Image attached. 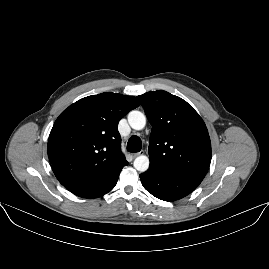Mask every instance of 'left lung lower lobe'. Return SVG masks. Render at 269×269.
<instances>
[{
	"mask_svg": "<svg viewBox=\"0 0 269 269\" xmlns=\"http://www.w3.org/2000/svg\"><path fill=\"white\" fill-rule=\"evenodd\" d=\"M140 179L144 188L153 196L169 202L187 196L201 183L194 178L152 169L140 174Z\"/></svg>",
	"mask_w": 269,
	"mask_h": 269,
	"instance_id": "1",
	"label": "left lung lower lobe"
}]
</instances>
